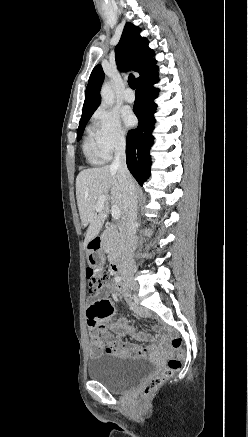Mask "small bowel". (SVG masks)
<instances>
[{
	"label": "small bowel",
	"instance_id": "obj_1",
	"mask_svg": "<svg viewBox=\"0 0 248 437\" xmlns=\"http://www.w3.org/2000/svg\"><path fill=\"white\" fill-rule=\"evenodd\" d=\"M113 290L124 300H129L128 291L121 284H117L115 287L106 285L104 290L98 294L87 295V324L91 330L90 356L97 357L102 353L120 357L141 356L154 351L156 345L147 334L136 331L125 319L120 318L115 321H110L114 307L112 305V299L109 298V294H111ZM137 314L140 316L145 315L141 310H137ZM126 335L131 336L139 342H149V345L141 347L137 344H130L120 340L121 337ZM163 341L164 336L162 337V342Z\"/></svg>",
	"mask_w": 248,
	"mask_h": 437
}]
</instances>
